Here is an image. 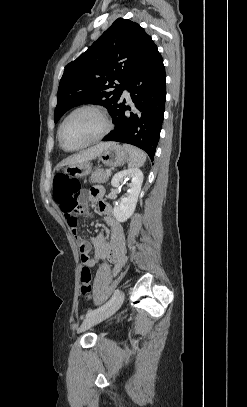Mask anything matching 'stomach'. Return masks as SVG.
<instances>
[{
    "instance_id": "0dacf381",
    "label": "stomach",
    "mask_w": 247,
    "mask_h": 407,
    "mask_svg": "<svg viewBox=\"0 0 247 407\" xmlns=\"http://www.w3.org/2000/svg\"><path fill=\"white\" fill-rule=\"evenodd\" d=\"M105 166L118 167L123 165L129 159L128 151L121 145L111 143L98 156ZM92 164L89 161L67 165L64 172L72 177H83L91 172Z\"/></svg>"
}]
</instances>
